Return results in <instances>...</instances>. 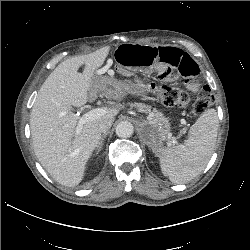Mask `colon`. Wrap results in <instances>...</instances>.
<instances>
[{
  "instance_id": "5ec220e1",
  "label": "colon",
  "mask_w": 250,
  "mask_h": 250,
  "mask_svg": "<svg viewBox=\"0 0 250 250\" xmlns=\"http://www.w3.org/2000/svg\"><path fill=\"white\" fill-rule=\"evenodd\" d=\"M149 92L158 96L166 106L184 107L188 104V95L177 87L158 86L153 83L147 84ZM214 102V97L208 87H204L197 97L193 112L197 115L203 114Z\"/></svg>"
}]
</instances>
